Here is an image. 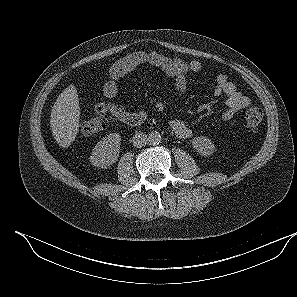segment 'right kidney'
<instances>
[{"label":"right kidney","instance_id":"1","mask_svg":"<svg viewBox=\"0 0 297 297\" xmlns=\"http://www.w3.org/2000/svg\"><path fill=\"white\" fill-rule=\"evenodd\" d=\"M121 136L111 133L102 138L94 147L90 156L92 165L98 168H107L118 160L120 153Z\"/></svg>","mask_w":297,"mask_h":297}]
</instances>
